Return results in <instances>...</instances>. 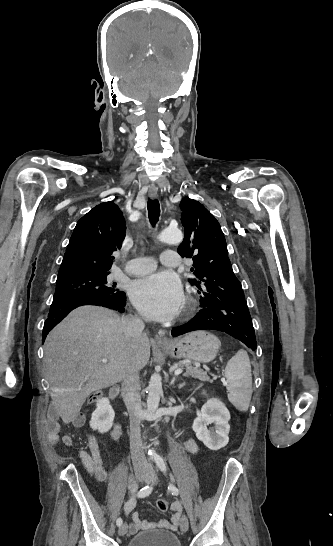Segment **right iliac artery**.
<instances>
[{
    "label": "right iliac artery",
    "instance_id": "1",
    "mask_svg": "<svg viewBox=\"0 0 333 546\" xmlns=\"http://www.w3.org/2000/svg\"><path fill=\"white\" fill-rule=\"evenodd\" d=\"M151 492H152V487L151 486H145L144 488L140 489V491L137 493V496L143 498V497L148 496ZM122 522H123L122 519L118 518L117 521H116V524L118 526H121Z\"/></svg>",
    "mask_w": 333,
    "mask_h": 546
}]
</instances>
